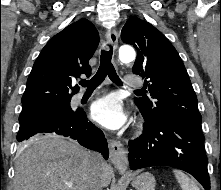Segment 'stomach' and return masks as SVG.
I'll return each mask as SVG.
<instances>
[{
  "label": "stomach",
  "instance_id": "1",
  "mask_svg": "<svg viewBox=\"0 0 221 190\" xmlns=\"http://www.w3.org/2000/svg\"><path fill=\"white\" fill-rule=\"evenodd\" d=\"M131 184L136 190H155L156 180L151 173L145 172L134 176Z\"/></svg>",
  "mask_w": 221,
  "mask_h": 190
}]
</instances>
